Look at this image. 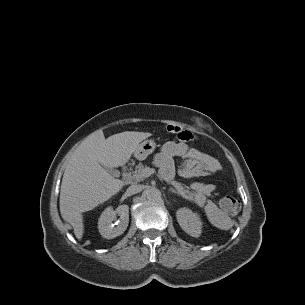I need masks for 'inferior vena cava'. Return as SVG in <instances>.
<instances>
[{"mask_svg": "<svg viewBox=\"0 0 305 305\" xmlns=\"http://www.w3.org/2000/svg\"><path fill=\"white\" fill-rule=\"evenodd\" d=\"M142 190H143L142 185H132L126 190L125 194L127 196H131V195H134V194H137V193L141 192Z\"/></svg>", "mask_w": 305, "mask_h": 305, "instance_id": "obj_1", "label": "inferior vena cava"}]
</instances>
